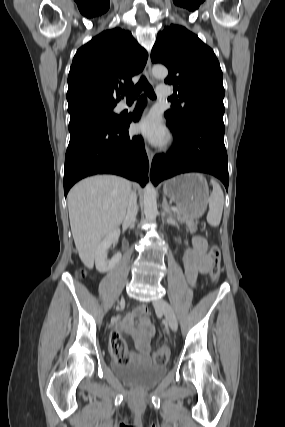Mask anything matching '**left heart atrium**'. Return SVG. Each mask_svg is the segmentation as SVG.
Here are the masks:
<instances>
[{
	"mask_svg": "<svg viewBox=\"0 0 285 427\" xmlns=\"http://www.w3.org/2000/svg\"><path fill=\"white\" fill-rule=\"evenodd\" d=\"M135 131L154 144H163L168 139L166 129L161 125L158 116L152 113L136 124Z\"/></svg>",
	"mask_w": 285,
	"mask_h": 427,
	"instance_id": "obj_1",
	"label": "left heart atrium"
}]
</instances>
